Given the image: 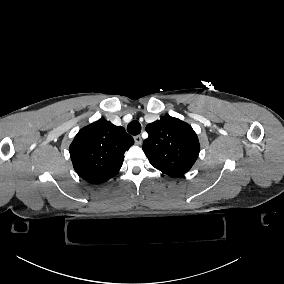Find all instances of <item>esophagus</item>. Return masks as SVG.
I'll return each instance as SVG.
<instances>
[{
	"label": "esophagus",
	"mask_w": 284,
	"mask_h": 284,
	"mask_svg": "<svg viewBox=\"0 0 284 284\" xmlns=\"http://www.w3.org/2000/svg\"><path fill=\"white\" fill-rule=\"evenodd\" d=\"M134 141L137 145H141L142 144V138L140 135H136L134 136Z\"/></svg>",
	"instance_id": "34e87169"
}]
</instances>
